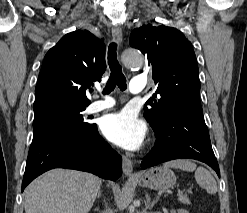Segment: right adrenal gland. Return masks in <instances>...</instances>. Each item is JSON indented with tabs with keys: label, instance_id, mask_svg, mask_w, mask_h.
<instances>
[{
	"label": "right adrenal gland",
	"instance_id": "2a0ac1e0",
	"mask_svg": "<svg viewBox=\"0 0 247 213\" xmlns=\"http://www.w3.org/2000/svg\"><path fill=\"white\" fill-rule=\"evenodd\" d=\"M94 210H95V211H97V212H99V211H100V209H99V208H95Z\"/></svg>",
	"mask_w": 247,
	"mask_h": 213
}]
</instances>
